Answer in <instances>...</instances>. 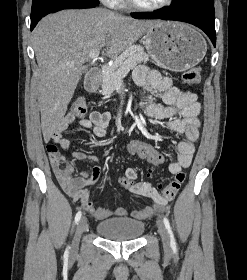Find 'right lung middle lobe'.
Instances as JSON below:
<instances>
[{
	"label": "right lung middle lobe",
	"mask_w": 247,
	"mask_h": 280,
	"mask_svg": "<svg viewBox=\"0 0 247 280\" xmlns=\"http://www.w3.org/2000/svg\"><path fill=\"white\" fill-rule=\"evenodd\" d=\"M70 1H86L99 4V0H33L31 10V20L41 17L52 6Z\"/></svg>",
	"instance_id": "1"
}]
</instances>
